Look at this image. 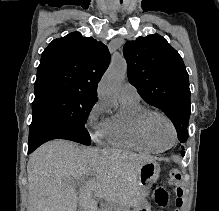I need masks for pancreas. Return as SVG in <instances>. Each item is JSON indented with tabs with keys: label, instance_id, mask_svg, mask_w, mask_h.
I'll use <instances>...</instances> for the list:
<instances>
[{
	"label": "pancreas",
	"instance_id": "obj_1",
	"mask_svg": "<svg viewBox=\"0 0 219 211\" xmlns=\"http://www.w3.org/2000/svg\"><path fill=\"white\" fill-rule=\"evenodd\" d=\"M117 203L119 204L120 202L118 201ZM117 203L114 200H107L106 204L108 207H106L105 211H116L118 209ZM121 206L123 207L124 205L122 204ZM124 210L126 211L127 209L125 208Z\"/></svg>",
	"mask_w": 219,
	"mask_h": 211
}]
</instances>
